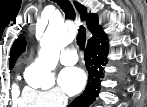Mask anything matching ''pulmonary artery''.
I'll return each mask as SVG.
<instances>
[{
    "label": "pulmonary artery",
    "instance_id": "obj_1",
    "mask_svg": "<svg viewBox=\"0 0 147 107\" xmlns=\"http://www.w3.org/2000/svg\"><path fill=\"white\" fill-rule=\"evenodd\" d=\"M78 61L76 51L74 49H66L60 56V62L64 65H73Z\"/></svg>",
    "mask_w": 147,
    "mask_h": 107
}]
</instances>
